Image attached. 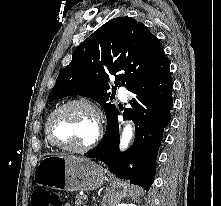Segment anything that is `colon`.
I'll list each match as a JSON object with an SVG mask.
<instances>
[{
  "label": "colon",
  "mask_w": 221,
  "mask_h": 206,
  "mask_svg": "<svg viewBox=\"0 0 221 206\" xmlns=\"http://www.w3.org/2000/svg\"><path fill=\"white\" fill-rule=\"evenodd\" d=\"M31 206H64L60 197L46 189H36L31 197Z\"/></svg>",
  "instance_id": "1"
}]
</instances>
